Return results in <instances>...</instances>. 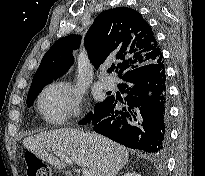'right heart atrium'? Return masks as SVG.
<instances>
[{
	"label": "right heart atrium",
	"mask_w": 205,
	"mask_h": 176,
	"mask_svg": "<svg viewBox=\"0 0 205 176\" xmlns=\"http://www.w3.org/2000/svg\"><path fill=\"white\" fill-rule=\"evenodd\" d=\"M82 95L69 83L58 81L45 87L38 97V109L51 124H61L78 115Z\"/></svg>",
	"instance_id": "right-heart-atrium-1"
}]
</instances>
